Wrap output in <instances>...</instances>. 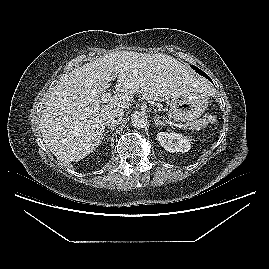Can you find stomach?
<instances>
[{"label":"stomach","instance_id":"1","mask_svg":"<svg viewBox=\"0 0 269 269\" xmlns=\"http://www.w3.org/2000/svg\"><path fill=\"white\" fill-rule=\"evenodd\" d=\"M207 105V96L203 92L192 91L171 100L169 116L174 121L192 124L203 115Z\"/></svg>","mask_w":269,"mask_h":269}]
</instances>
